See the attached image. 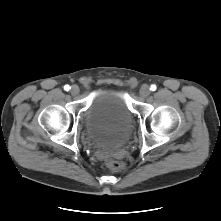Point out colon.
<instances>
[{
    "mask_svg": "<svg viewBox=\"0 0 221 221\" xmlns=\"http://www.w3.org/2000/svg\"><path fill=\"white\" fill-rule=\"evenodd\" d=\"M107 166L112 171H122L125 167V165L122 161L115 160V159L108 160Z\"/></svg>",
    "mask_w": 221,
    "mask_h": 221,
    "instance_id": "1",
    "label": "colon"
}]
</instances>
